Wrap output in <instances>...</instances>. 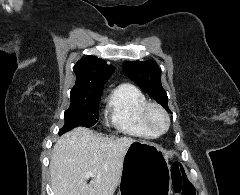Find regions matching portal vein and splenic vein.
<instances>
[{
  "instance_id": "portal-vein-and-splenic-vein-1",
  "label": "portal vein and splenic vein",
  "mask_w": 240,
  "mask_h": 195,
  "mask_svg": "<svg viewBox=\"0 0 240 195\" xmlns=\"http://www.w3.org/2000/svg\"><path fill=\"white\" fill-rule=\"evenodd\" d=\"M84 177H95V175L92 173V171H86Z\"/></svg>"
}]
</instances>
